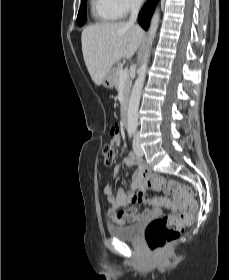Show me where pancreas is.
Listing matches in <instances>:
<instances>
[{
  "instance_id": "pancreas-1",
  "label": "pancreas",
  "mask_w": 229,
  "mask_h": 280,
  "mask_svg": "<svg viewBox=\"0 0 229 280\" xmlns=\"http://www.w3.org/2000/svg\"><path fill=\"white\" fill-rule=\"evenodd\" d=\"M121 69H122L121 64H118L117 67L114 69V73H115V83H114V85H115L116 88H118V86H119V82H120L119 72H120ZM131 86H132V81L129 77H127L125 79V82H124V90H123L125 102L128 100ZM121 110L122 111L124 110V104L121 105Z\"/></svg>"
}]
</instances>
